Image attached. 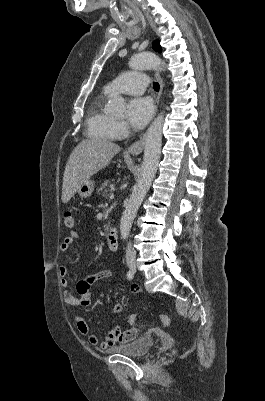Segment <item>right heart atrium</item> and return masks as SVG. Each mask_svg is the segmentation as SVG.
Here are the masks:
<instances>
[{
	"instance_id": "right-heart-atrium-1",
	"label": "right heart atrium",
	"mask_w": 265,
	"mask_h": 401,
	"mask_svg": "<svg viewBox=\"0 0 265 401\" xmlns=\"http://www.w3.org/2000/svg\"><path fill=\"white\" fill-rule=\"evenodd\" d=\"M114 131L117 137H124L128 134V127L124 122L116 121L114 123Z\"/></svg>"
}]
</instances>
